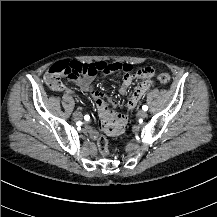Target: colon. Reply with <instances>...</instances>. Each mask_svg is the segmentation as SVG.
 <instances>
[{
	"instance_id": "obj_1",
	"label": "colon",
	"mask_w": 217,
	"mask_h": 217,
	"mask_svg": "<svg viewBox=\"0 0 217 217\" xmlns=\"http://www.w3.org/2000/svg\"><path fill=\"white\" fill-rule=\"evenodd\" d=\"M131 69L128 63L124 62H95L89 64L77 63L75 60H68L66 62H61L59 64H54L45 73L46 80L50 83V88L53 91H58L61 88V83L59 79L64 76L67 79H72L75 76L95 74L98 72L105 71H122L127 72ZM152 73V69L148 68L146 70H138L137 76L139 77H149ZM158 80L160 83L166 84L169 81V75L167 73H162ZM100 153L103 156L108 155L109 150L107 148V138L104 135L99 136L97 141Z\"/></svg>"
}]
</instances>
